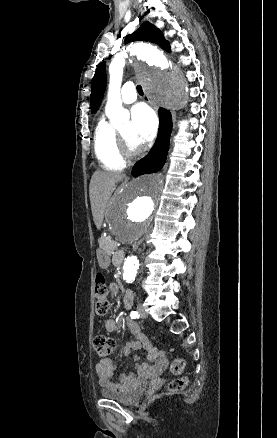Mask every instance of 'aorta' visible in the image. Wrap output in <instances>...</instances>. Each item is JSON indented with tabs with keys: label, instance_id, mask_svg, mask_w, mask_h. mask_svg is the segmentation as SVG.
<instances>
[{
	"label": "aorta",
	"instance_id": "obj_1",
	"mask_svg": "<svg viewBox=\"0 0 277 438\" xmlns=\"http://www.w3.org/2000/svg\"><path fill=\"white\" fill-rule=\"evenodd\" d=\"M127 53L139 61L136 72L144 89L162 106L174 110L181 107L187 95V82L156 47L137 43L116 55L109 66V88L106 115L114 127L129 120L122 107L120 87ZM162 177L141 176L126 185L114 198L108 213L109 226L123 244H133L151 229L161 199ZM139 261L130 255L123 265V278L135 280Z\"/></svg>",
	"mask_w": 277,
	"mask_h": 438
}]
</instances>
